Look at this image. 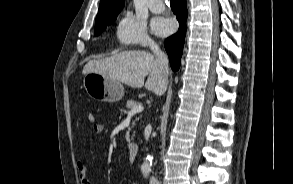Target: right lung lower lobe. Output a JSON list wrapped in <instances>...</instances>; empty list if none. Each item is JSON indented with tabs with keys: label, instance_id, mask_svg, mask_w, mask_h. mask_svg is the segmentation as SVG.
I'll list each match as a JSON object with an SVG mask.
<instances>
[{
	"label": "right lung lower lobe",
	"instance_id": "98d812e1",
	"mask_svg": "<svg viewBox=\"0 0 293 184\" xmlns=\"http://www.w3.org/2000/svg\"><path fill=\"white\" fill-rule=\"evenodd\" d=\"M171 7L179 21L180 27L177 33L165 40V49L173 71H177L181 64L183 44L186 33V0H171Z\"/></svg>",
	"mask_w": 293,
	"mask_h": 184
}]
</instances>
